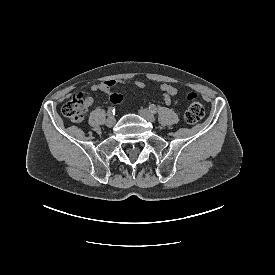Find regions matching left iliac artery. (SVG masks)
<instances>
[{
	"mask_svg": "<svg viewBox=\"0 0 275 275\" xmlns=\"http://www.w3.org/2000/svg\"><path fill=\"white\" fill-rule=\"evenodd\" d=\"M149 110H150L152 113H156V112H157V108H156V106H155L154 104H151V105L149 106Z\"/></svg>",
	"mask_w": 275,
	"mask_h": 275,
	"instance_id": "44dca946",
	"label": "left iliac artery"
}]
</instances>
